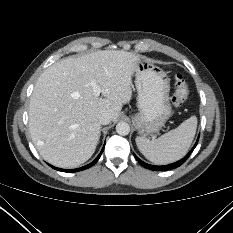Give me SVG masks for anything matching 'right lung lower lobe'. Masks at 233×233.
I'll return each mask as SVG.
<instances>
[{"instance_id":"98d812e1","label":"right lung lower lobe","mask_w":233,"mask_h":233,"mask_svg":"<svg viewBox=\"0 0 233 233\" xmlns=\"http://www.w3.org/2000/svg\"><path fill=\"white\" fill-rule=\"evenodd\" d=\"M104 147L102 148L101 152L99 153V155L96 157V159L94 161H92L90 164L85 165V166H83L81 168L66 170V169H61V168H57V167H54V166H51V167L56 169V170L63 171V172H78V171L85 170V169L90 168L91 166H93L99 160L101 154L103 153Z\"/></svg>"}]
</instances>
